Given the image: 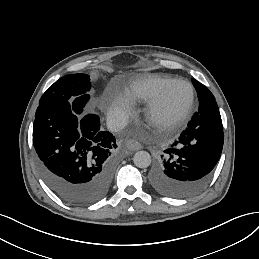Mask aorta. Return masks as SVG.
Instances as JSON below:
<instances>
[{
  "mask_svg": "<svg viewBox=\"0 0 259 259\" xmlns=\"http://www.w3.org/2000/svg\"><path fill=\"white\" fill-rule=\"evenodd\" d=\"M133 162L138 168H147L151 164V156L146 151H138L133 157Z\"/></svg>",
  "mask_w": 259,
  "mask_h": 259,
  "instance_id": "obj_1",
  "label": "aorta"
}]
</instances>
